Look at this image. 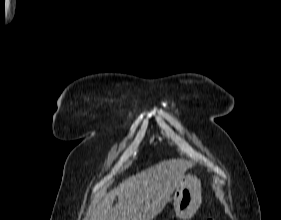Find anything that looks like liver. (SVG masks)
Returning <instances> with one entry per match:
<instances>
[{
  "mask_svg": "<svg viewBox=\"0 0 281 220\" xmlns=\"http://www.w3.org/2000/svg\"><path fill=\"white\" fill-rule=\"evenodd\" d=\"M191 166L183 159H169L125 179L108 192L91 220L153 219L165 208ZM116 196L118 202L112 207Z\"/></svg>",
  "mask_w": 281,
  "mask_h": 220,
  "instance_id": "obj_1",
  "label": "liver"
}]
</instances>
